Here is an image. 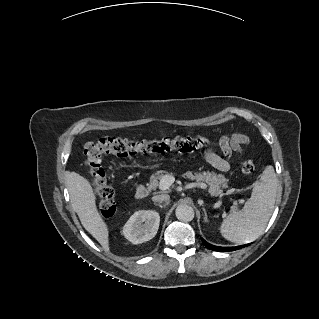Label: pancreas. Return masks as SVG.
Here are the masks:
<instances>
[{
	"label": "pancreas",
	"instance_id": "obj_1",
	"mask_svg": "<svg viewBox=\"0 0 319 319\" xmlns=\"http://www.w3.org/2000/svg\"><path fill=\"white\" fill-rule=\"evenodd\" d=\"M166 175L165 171L160 170L153 174L150 178V187L156 188L159 185V180ZM186 177L191 180H196L197 182L205 181L209 186V193L212 196H217L221 193V187L226 188L228 184V179H226L222 174L217 175L215 172H189Z\"/></svg>",
	"mask_w": 319,
	"mask_h": 319
}]
</instances>
